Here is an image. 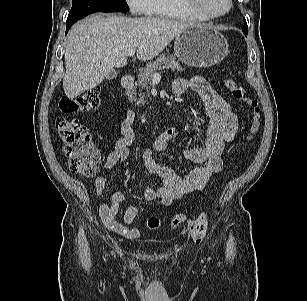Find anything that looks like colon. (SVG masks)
Here are the masks:
<instances>
[{"label":"colon","mask_w":307,"mask_h":301,"mask_svg":"<svg viewBox=\"0 0 307 301\" xmlns=\"http://www.w3.org/2000/svg\"><path fill=\"white\" fill-rule=\"evenodd\" d=\"M224 87L230 92L233 99L245 103L251 110L248 137L252 138L261 125V108L258 100L247 96L244 88L233 78L226 77L223 80ZM100 105V89L97 87L88 89L75 98H64L60 105V111L64 114L81 113L94 110ZM57 130L63 144L65 156L68 159L69 169L77 174L93 176L96 174L97 165L101 160L99 150L94 146L89 130L76 119L58 117ZM188 224L194 237L202 236L207 228V215L201 213L195 222H190L184 214H175L170 219L172 229H178ZM161 221L157 217H151L147 221L150 229H158Z\"/></svg>","instance_id":"5ec220e1"}]
</instances>
